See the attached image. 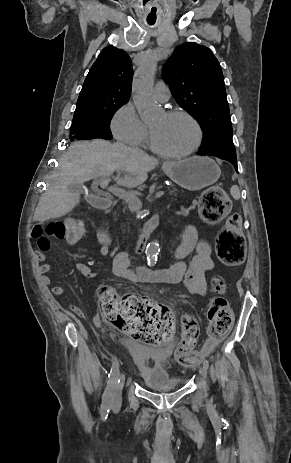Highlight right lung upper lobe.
<instances>
[{
  "label": "right lung upper lobe",
  "mask_w": 291,
  "mask_h": 463,
  "mask_svg": "<svg viewBox=\"0 0 291 463\" xmlns=\"http://www.w3.org/2000/svg\"><path fill=\"white\" fill-rule=\"evenodd\" d=\"M132 76L128 54L111 45L105 47L84 81L74 116L99 109L107 101L126 102L131 93Z\"/></svg>",
  "instance_id": "right-lung-upper-lobe-1"
}]
</instances>
